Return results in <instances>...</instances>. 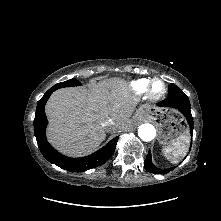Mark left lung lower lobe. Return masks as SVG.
Listing matches in <instances>:
<instances>
[{
	"label": "left lung lower lobe",
	"instance_id": "1",
	"mask_svg": "<svg viewBox=\"0 0 221 221\" xmlns=\"http://www.w3.org/2000/svg\"><path fill=\"white\" fill-rule=\"evenodd\" d=\"M159 107H164V108H173L177 109L180 111L187 119L189 127H190V133L191 136L193 135V117L190 111V102L186 94H175V95H170L168 98L164 99L163 101L157 103ZM145 169L148 172H151L153 174H165L171 171L173 168H169L166 170H160L157 167H155L152 162H151V152L149 150L146 160H145Z\"/></svg>",
	"mask_w": 221,
	"mask_h": 221
}]
</instances>
